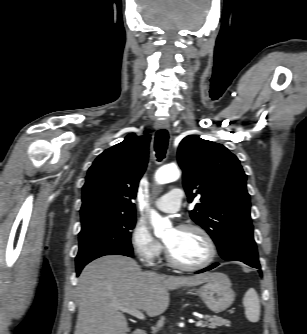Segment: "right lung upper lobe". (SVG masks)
<instances>
[{
  "mask_svg": "<svg viewBox=\"0 0 307 334\" xmlns=\"http://www.w3.org/2000/svg\"><path fill=\"white\" fill-rule=\"evenodd\" d=\"M149 141V134L137 136L130 133L123 142L96 158L82 189L81 217L93 214L135 215L132 201L147 166Z\"/></svg>",
  "mask_w": 307,
  "mask_h": 334,
  "instance_id": "obj_1",
  "label": "right lung upper lobe"
}]
</instances>
